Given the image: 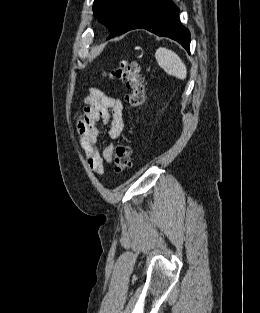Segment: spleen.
<instances>
[{"label": "spleen", "mask_w": 260, "mask_h": 313, "mask_svg": "<svg viewBox=\"0 0 260 313\" xmlns=\"http://www.w3.org/2000/svg\"><path fill=\"white\" fill-rule=\"evenodd\" d=\"M155 58L159 66L171 76L178 79H185L187 76V69L181 58L173 51L160 47L155 53Z\"/></svg>", "instance_id": "spleen-1"}]
</instances>
